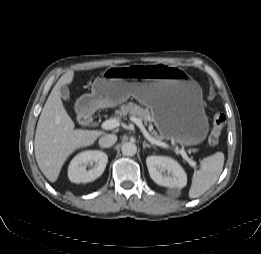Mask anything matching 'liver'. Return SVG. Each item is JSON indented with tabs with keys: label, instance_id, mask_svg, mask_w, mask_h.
<instances>
[{
	"label": "liver",
	"instance_id": "6515ba94",
	"mask_svg": "<svg viewBox=\"0 0 261 254\" xmlns=\"http://www.w3.org/2000/svg\"><path fill=\"white\" fill-rule=\"evenodd\" d=\"M72 70L63 74L53 87L38 120L34 150L37 164L50 181L58 179L66 159L77 149L92 145L104 133L74 129L75 124L61 101L60 88L72 83Z\"/></svg>",
	"mask_w": 261,
	"mask_h": 254
}]
</instances>
